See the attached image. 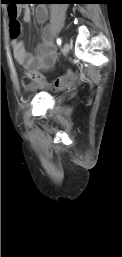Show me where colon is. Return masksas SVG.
I'll return each instance as SVG.
<instances>
[{
  "mask_svg": "<svg viewBox=\"0 0 122 257\" xmlns=\"http://www.w3.org/2000/svg\"><path fill=\"white\" fill-rule=\"evenodd\" d=\"M6 10H9V18H10V36L12 38H18L21 34V24L17 19L18 13V5H6ZM83 74H80V71H76V74L68 73L64 76L59 77L56 79L52 84L51 87L54 89H61L69 80L71 79H83ZM24 82L27 86L33 85H42L44 87L47 84L44 81L43 76L37 71L28 70L25 73Z\"/></svg>",
  "mask_w": 122,
  "mask_h": 257,
  "instance_id": "5ec220e1",
  "label": "colon"
}]
</instances>
